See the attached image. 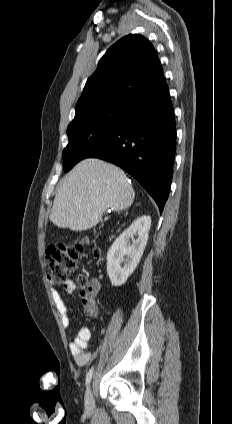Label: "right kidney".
Listing matches in <instances>:
<instances>
[{
  "label": "right kidney",
  "instance_id": "right-kidney-1",
  "mask_svg": "<svg viewBox=\"0 0 232 424\" xmlns=\"http://www.w3.org/2000/svg\"><path fill=\"white\" fill-rule=\"evenodd\" d=\"M150 226V216L137 218L108 250L107 273L113 286L123 285L136 269L148 241Z\"/></svg>",
  "mask_w": 232,
  "mask_h": 424
}]
</instances>
